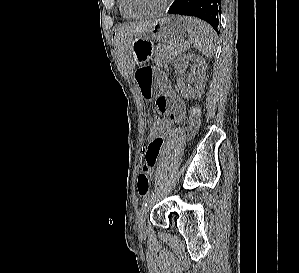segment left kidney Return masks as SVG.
<instances>
[{
	"mask_svg": "<svg viewBox=\"0 0 299 273\" xmlns=\"http://www.w3.org/2000/svg\"><path fill=\"white\" fill-rule=\"evenodd\" d=\"M190 61L194 63L192 73L197 79V85L194 88L190 87L189 84H185L182 81V75ZM175 69L176 74L178 76L176 87L177 91L180 92V94L186 98L200 96L205 88V60L197 55L185 54L180 56L179 59L176 61Z\"/></svg>",
	"mask_w": 299,
	"mask_h": 273,
	"instance_id": "5707ae66",
	"label": "left kidney"
}]
</instances>
